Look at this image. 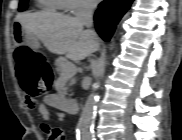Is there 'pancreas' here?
Segmentation results:
<instances>
[{
  "label": "pancreas",
  "instance_id": "cf45deb5",
  "mask_svg": "<svg viewBox=\"0 0 182 140\" xmlns=\"http://www.w3.org/2000/svg\"><path fill=\"white\" fill-rule=\"evenodd\" d=\"M55 66L57 67L60 77H66L67 79H70L76 73L75 66L72 63H70L66 58L58 59L55 63ZM66 90L67 87L65 85L63 89L60 91V94L62 96L66 95Z\"/></svg>",
  "mask_w": 182,
  "mask_h": 140
}]
</instances>
